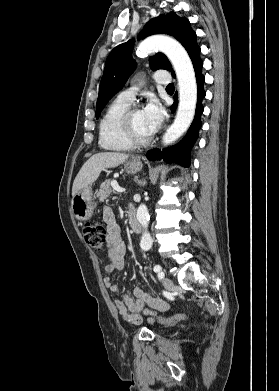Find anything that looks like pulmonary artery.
Masks as SVG:
<instances>
[{
  "instance_id": "obj_1",
  "label": "pulmonary artery",
  "mask_w": 279,
  "mask_h": 391,
  "mask_svg": "<svg viewBox=\"0 0 279 391\" xmlns=\"http://www.w3.org/2000/svg\"><path fill=\"white\" fill-rule=\"evenodd\" d=\"M154 80L155 82L160 84H167L170 82L171 78L169 73L165 71H158L154 76ZM135 95H136V88L134 87L129 88L119 94L121 98H124L129 101H132L135 98Z\"/></svg>"
}]
</instances>
